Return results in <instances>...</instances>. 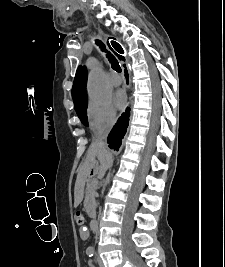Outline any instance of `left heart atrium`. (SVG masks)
Instances as JSON below:
<instances>
[{"mask_svg":"<svg viewBox=\"0 0 225 267\" xmlns=\"http://www.w3.org/2000/svg\"><path fill=\"white\" fill-rule=\"evenodd\" d=\"M115 101L118 108H123L126 105V95L122 91H119L116 94Z\"/></svg>","mask_w":225,"mask_h":267,"instance_id":"1","label":"left heart atrium"}]
</instances>
